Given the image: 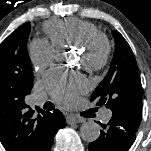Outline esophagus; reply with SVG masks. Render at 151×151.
Segmentation results:
<instances>
[{"instance_id": "obj_1", "label": "esophagus", "mask_w": 151, "mask_h": 151, "mask_svg": "<svg viewBox=\"0 0 151 151\" xmlns=\"http://www.w3.org/2000/svg\"><path fill=\"white\" fill-rule=\"evenodd\" d=\"M81 120L79 117L75 116V115H68L66 117V122L70 125L75 124V123H79Z\"/></svg>"}]
</instances>
